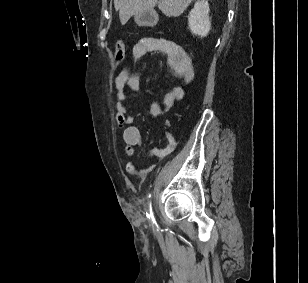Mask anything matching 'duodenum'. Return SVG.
I'll return each mask as SVG.
<instances>
[{
    "label": "duodenum",
    "instance_id": "410a0bca",
    "mask_svg": "<svg viewBox=\"0 0 308 283\" xmlns=\"http://www.w3.org/2000/svg\"><path fill=\"white\" fill-rule=\"evenodd\" d=\"M145 23H146L147 25H153V24H155V23H156V17H155V15L151 14V15L147 16V17L145 18Z\"/></svg>",
    "mask_w": 308,
    "mask_h": 283
}]
</instances>
